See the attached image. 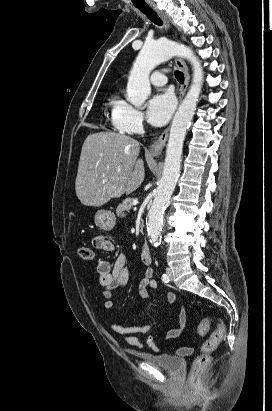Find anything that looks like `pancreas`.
Returning <instances> with one entry per match:
<instances>
[{"mask_svg": "<svg viewBox=\"0 0 272 411\" xmlns=\"http://www.w3.org/2000/svg\"><path fill=\"white\" fill-rule=\"evenodd\" d=\"M133 200V198H126L125 200H123V202L119 204V206L116 209L117 215L121 216L124 214V212L129 211L133 205Z\"/></svg>", "mask_w": 272, "mask_h": 411, "instance_id": "cf45deb5", "label": "pancreas"}]
</instances>
